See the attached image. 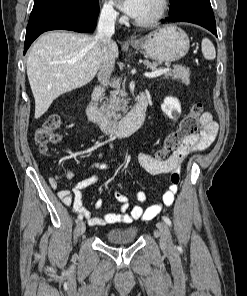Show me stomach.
Instances as JSON below:
<instances>
[{
    "instance_id": "0dacf381",
    "label": "stomach",
    "mask_w": 247,
    "mask_h": 296,
    "mask_svg": "<svg viewBox=\"0 0 247 296\" xmlns=\"http://www.w3.org/2000/svg\"><path fill=\"white\" fill-rule=\"evenodd\" d=\"M131 45L159 63H170L180 60L187 54L190 41L182 29L168 25L149 33Z\"/></svg>"
}]
</instances>
